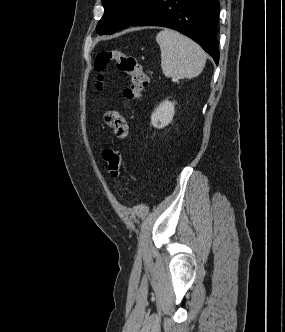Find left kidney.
Wrapping results in <instances>:
<instances>
[{
    "label": "left kidney",
    "instance_id": "obj_1",
    "mask_svg": "<svg viewBox=\"0 0 285 332\" xmlns=\"http://www.w3.org/2000/svg\"><path fill=\"white\" fill-rule=\"evenodd\" d=\"M174 105V102L163 101L152 113L151 124L158 129L167 126L173 119L175 113Z\"/></svg>",
    "mask_w": 285,
    "mask_h": 332
}]
</instances>
